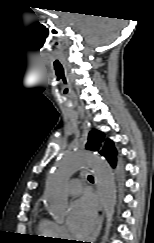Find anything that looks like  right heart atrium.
I'll use <instances>...</instances> for the list:
<instances>
[{
	"mask_svg": "<svg viewBox=\"0 0 154 243\" xmlns=\"http://www.w3.org/2000/svg\"><path fill=\"white\" fill-rule=\"evenodd\" d=\"M56 228H57V235L60 238H68L69 237V234H68V232H67V230L64 226L56 224Z\"/></svg>",
	"mask_w": 154,
	"mask_h": 243,
	"instance_id": "1",
	"label": "right heart atrium"
}]
</instances>
